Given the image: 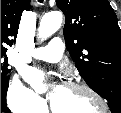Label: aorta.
I'll list each match as a JSON object with an SVG mask.
<instances>
[{
	"instance_id": "1",
	"label": "aorta",
	"mask_w": 121,
	"mask_h": 113,
	"mask_svg": "<svg viewBox=\"0 0 121 113\" xmlns=\"http://www.w3.org/2000/svg\"><path fill=\"white\" fill-rule=\"evenodd\" d=\"M62 19L63 16L60 12L46 13L40 21L38 29L39 36L42 39L50 37L60 28L62 24Z\"/></svg>"
}]
</instances>
